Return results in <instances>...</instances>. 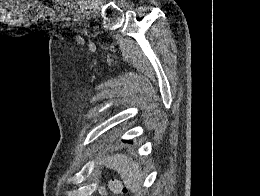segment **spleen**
I'll return each mask as SVG.
<instances>
[{"instance_id":"3e777b00","label":"spleen","mask_w":260,"mask_h":196,"mask_svg":"<svg viewBox=\"0 0 260 196\" xmlns=\"http://www.w3.org/2000/svg\"><path fill=\"white\" fill-rule=\"evenodd\" d=\"M98 166H107L111 170H116L127 190L131 192H137L143 184L144 174L139 164L131 162V158H127L125 154H114V156L103 158Z\"/></svg>"}]
</instances>
